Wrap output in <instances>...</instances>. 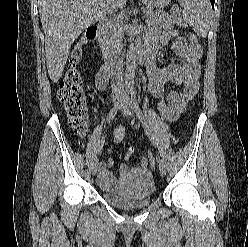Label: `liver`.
<instances>
[{
  "mask_svg": "<svg viewBox=\"0 0 248 247\" xmlns=\"http://www.w3.org/2000/svg\"><path fill=\"white\" fill-rule=\"evenodd\" d=\"M127 0H117L119 8ZM45 34V54L50 79L57 82L64 71L73 42L87 27L106 14L107 0H39Z\"/></svg>",
  "mask_w": 248,
  "mask_h": 247,
  "instance_id": "1",
  "label": "liver"
}]
</instances>
